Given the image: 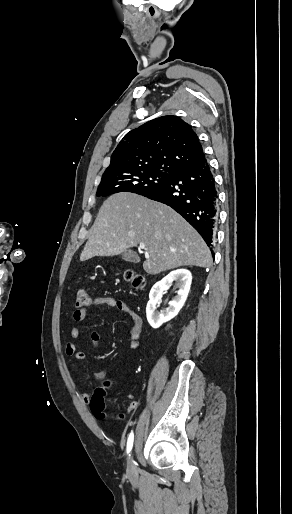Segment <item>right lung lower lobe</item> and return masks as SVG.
<instances>
[{
  "label": "right lung lower lobe",
  "instance_id": "right-lung-lower-lobe-1",
  "mask_svg": "<svg viewBox=\"0 0 292 514\" xmlns=\"http://www.w3.org/2000/svg\"><path fill=\"white\" fill-rule=\"evenodd\" d=\"M143 196L172 207L211 246L217 220V191L207 159L174 173Z\"/></svg>",
  "mask_w": 292,
  "mask_h": 514
}]
</instances>
